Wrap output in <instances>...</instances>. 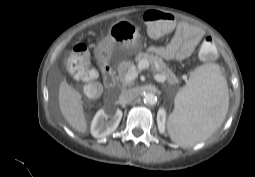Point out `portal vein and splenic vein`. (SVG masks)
Returning <instances> with one entry per match:
<instances>
[{"instance_id":"1","label":"portal vein and splenic vein","mask_w":255,"mask_h":177,"mask_svg":"<svg viewBox=\"0 0 255 177\" xmlns=\"http://www.w3.org/2000/svg\"><path fill=\"white\" fill-rule=\"evenodd\" d=\"M148 67H149V62L148 61H146V60L139 61L137 68L135 66H133L128 71V73L125 76V81L126 82H132L133 80H135L138 77L139 73L142 70L147 69ZM154 79L158 82H164L165 81V77L161 76V75H158V74L154 75Z\"/></svg>"}]
</instances>
